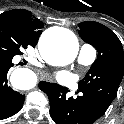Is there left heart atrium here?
Returning a JSON list of instances; mask_svg holds the SVG:
<instances>
[{
  "mask_svg": "<svg viewBox=\"0 0 124 124\" xmlns=\"http://www.w3.org/2000/svg\"><path fill=\"white\" fill-rule=\"evenodd\" d=\"M57 80L62 84H69L72 81V75L69 72H59L57 74Z\"/></svg>",
  "mask_w": 124,
  "mask_h": 124,
  "instance_id": "obj_1",
  "label": "left heart atrium"
}]
</instances>
